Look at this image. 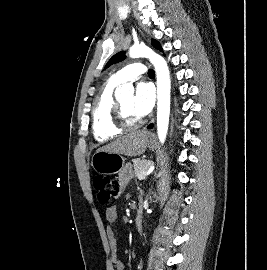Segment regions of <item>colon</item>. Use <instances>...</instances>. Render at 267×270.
I'll return each instance as SVG.
<instances>
[{"label":"colon","mask_w":267,"mask_h":270,"mask_svg":"<svg viewBox=\"0 0 267 270\" xmlns=\"http://www.w3.org/2000/svg\"><path fill=\"white\" fill-rule=\"evenodd\" d=\"M93 185L97 191L98 200L103 204L110 202L112 198L117 197L121 192L119 180L104 174L96 175L93 179Z\"/></svg>","instance_id":"obj_1"}]
</instances>
